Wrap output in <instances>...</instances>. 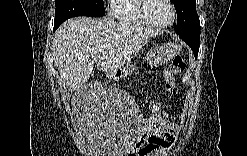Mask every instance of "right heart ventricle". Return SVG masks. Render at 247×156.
<instances>
[{
    "mask_svg": "<svg viewBox=\"0 0 247 156\" xmlns=\"http://www.w3.org/2000/svg\"><path fill=\"white\" fill-rule=\"evenodd\" d=\"M138 0L113 1L111 14L118 21L126 24L146 25L138 9Z\"/></svg>",
    "mask_w": 247,
    "mask_h": 156,
    "instance_id": "obj_1",
    "label": "right heart ventricle"
}]
</instances>
